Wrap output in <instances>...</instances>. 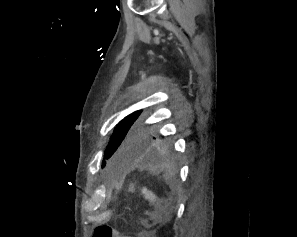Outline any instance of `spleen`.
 <instances>
[{
	"label": "spleen",
	"mask_w": 297,
	"mask_h": 237,
	"mask_svg": "<svg viewBox=\"0 0 297 237\" xmlns=\"http://www.w3.org/2000/svg\"><path fill=\"white\" fill-rule=\"evenodd\" d=\"M143 194L145 198L150 200L151 202H154L157 199V197L151 191L147 190V188H143Z\"/></svg>",
	"instance_id": "1"
}]
</instances>
